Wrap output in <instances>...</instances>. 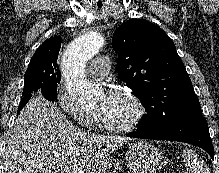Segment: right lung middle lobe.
Here are the masks:
<instances>
[{
	"mask_svg": "<svg viewBox=\"0 0 219 173\" xmlns=\"http://www.w3.org/2000/svg\"><path fill=\"white\" fill-rule=\"evenodd\" d=\"M60 80L61 78L54 69L28 65L24 75L22 97L38 91L46 99L55 101L57 97V84Z\"/></svg>",
	"mask_w": 219,
	"mask_h": 173,
	"instance_id": "1",
	"label": "right lung middle lobe"
}]
</instances>
